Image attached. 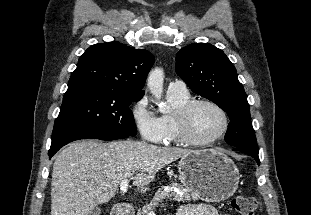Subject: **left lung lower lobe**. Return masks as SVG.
<instances>
[{"mask_svg": "<svg viewBox=\"0 0 311 215\" xmlns=\"http://www.w3.org/2000/svg\"><path fill=\"white\" fill-rule=\"evenodd\" d=\"M234 150H236V151L239 150V151H241V152H243V153H246V154L252 156V157L256 160V162L258 163V165L260 164L259 156H258V153H257V152H253V151H249V150L241 149V148H236V149H234Z\"/></svg>", "mask_w": 311, "mask_h": 215, "instance_id": "0a47b994", "label": "left lung lower lobe"}]
</instances>
